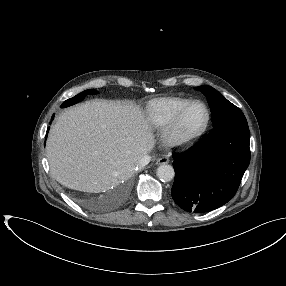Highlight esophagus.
Masks as SVG:
<instances>
[{
    "instance_id": "esophagus-1",
    "label": "esophagus",
    "mask_w": 286,
    "mask_h": 286,
    "mask_svg": "<svg viewBox=\"0 0 286 286\" xmlns=\"http://www.w3.org/2000/svg\"><path fill=\"white\" fill-rule=\"evenodd\" d=\"M167 163H169V158L167 157H161L156 162V164L158 165L167 164Z\"/></svg>"
}]
</instances>
